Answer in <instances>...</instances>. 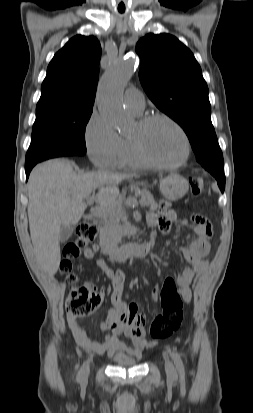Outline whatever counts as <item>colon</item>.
Wrapping results in <instances>:
<instances>
[{
    "label": "colon",
    "instance_id": "1",
    "mask_svg": "<svg viewBox=\"0 0 253 413\" xmlns=\"http://www.w3.org/2000/svg\"><path fill=\"white\" fill-rule=\"evenodd\" d=\"M206 183L203 178L195 177L191 180V191L198 195L205 191ZM77 239L68 243L63 250L64 260L60 265L62 273L66 274L69 293L66 299V311L74 317L91 315L102 302V293L88 283H78L72 273V260L80 255L97 236V227L91 222L81 223L77 227ZM162 312L155 317L150 327V335L154 340H161L171 336L181 325L183 319V302L179 290L172 278L164 281L160 292Z\"/></svg>",
    "mask_w": 253,
    "mask_h": 413
}]
</instances>
